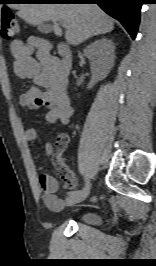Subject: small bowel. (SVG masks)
<instances>
[{
	"label": "small bowel",
	"mask_w": 156,
	"mask_h": 266,
	"mask_svg": "<svg viewBox=\"0 0 156 266\" xmlns=\"http://www.w3.org/2000/svg\"><path fill=\"white\" fill-rule=\"evenodd\" d=\"M46 44L31 39L27 44L21 40H14L10 44L13 57V70L20 78L32 79L35 86L21 94L19 102L28 109L46 107V120L50 123L59 122L67 125L72 115V107L67 95V85L57 74L56 62L44 50ZM37 129L31 127L25 132L26 141L34 145L37 139ZM45 153L51 156L54 164L64 181L67 189L72 190L77 185L73 172L65 165L61 158L62 147H54L50 142L45 144ZM37 168L41 172L38 183L43 193L44 204L52 211H59L64 207L63 199L56 195L58 181L51 175L44 173V166L39 157H35Z\"/></svg>",
	"instance_id": "obj_1"
}]
</instances>
